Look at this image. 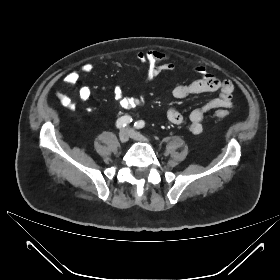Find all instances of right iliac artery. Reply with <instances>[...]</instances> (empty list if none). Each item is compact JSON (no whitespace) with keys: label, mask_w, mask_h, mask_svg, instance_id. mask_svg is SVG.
<instances>
[{"label":"right iliac artery","mask_w":280,"mask_h":280,"mask_svg":"<svg viewBox=\"0 0 280 280\" xmlns=\"http://www.w3.org/2000/svg\"><path fill=\"white\" fill-rule=\"evenodd\" d=\"M130 122H132V118L130 116L128 115L122 116L116 121V127L118 129H122L125 126H127Z\"/></svg>","instance_id":"right-iliac-artery-1"}]
</instances>
